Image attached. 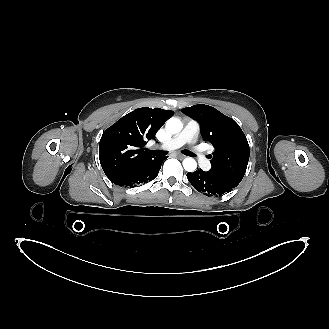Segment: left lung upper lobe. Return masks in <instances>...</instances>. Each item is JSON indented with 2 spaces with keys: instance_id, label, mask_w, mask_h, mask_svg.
<instances>
[{
  "instance_id": "5c2ea615",
  "label": "left lung upper lobe",
  "mask_w": 329,
  "mask_h": 329,
  "mask_svg": "<svg viewBox=\"0 0 329 329\" xmlns=\"http://www.w3.org/2000/svg\"><path fill=\"white\" fill-rule=\"evenodd\" d=\"M200 123L203 140L215 151L209 173L238 186L249 161V144L239 125L215 108L198 104L181 110Z\"/></svg>"
}]
</instances>
